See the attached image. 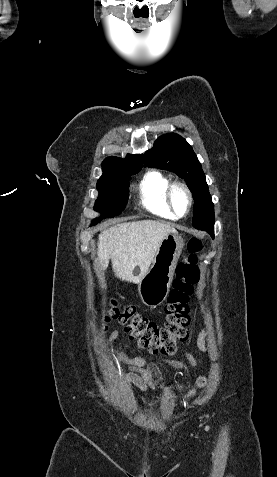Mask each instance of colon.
I'll use <instances>...</instances> for the list:
<instances>
[{
  "label": "colon",
  "instance_id": "colon-1",
  "mask_svg": "<svg viewBox=\"0 0 277 477\" xmlns=\"http://www.w3.org/2000/svg\"><path fill=\"white\" fill-rule=\"evenodd\" d=\"M201 249L202 240L199 237L190 238L187 243V252L176 268V277L165 306L164 325H158L142 316L132 305L119 307L116 302H113L111 309L105 315V321H118L141 348L153 354H173L177 343L186 341L189 337L188 302L200 276L198 254ZM205 383V378L200 377L196 388L192 389L187 397H192L197 388L203 387Z\"/></svg>",
  "mask_w": 277,
  "mask_h": 477
}]
</instances>
